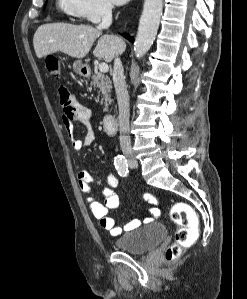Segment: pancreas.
Instances as JSON below:
<instances>
[{
    "label": "pancreas",
    "mask_w": 247,
    "mask_h": 299,
    "mask_svg": "<svg viewBox=\"0 0 247 299\" xmlns=\"http://www.w3.org/2000/svg\"><path fill=\"white\" fill-rule=\"evenodd\" d=\"M90 85L97 89L99 94H102V102L104 101L105 104L104 111H107L108 105L111 102L112 85L110 78L102 73H95L92 76Z\"/></svg>",
    "instance_id": "pancreas-1"
}]
</instances>
